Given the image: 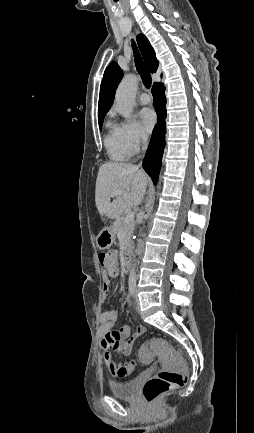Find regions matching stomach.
<instances>
[{
	"mask_svg": "<svg viewBox=\"0 0 254 433\" xmlns=\"http://www.w3.org/2000/svg\"><path fill=\"white\" fill-rule=\"evenodd\" d=\"M115 241V231L112 227L104 228L96 238V244L99 249H107Z\"/></svg>",
	"mask_w": 254,
	"mask_h": 433,
	"instance_id": "0dacf381",
	"label": "stomach"
}]
</instances>
